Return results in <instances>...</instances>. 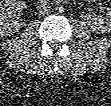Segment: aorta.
Masks as SVG:
<instances>
[{"label": "aorta", "mask_w": 111, "mask_h": 106, "mask_svg": "<svg viewBox=\"0 0 111 106\" xmlns=\"http://www.w3.org/2000/svg\"><path fill=\"white\" fill-rule=\"evenodd\" d=\"M56 11H57L58 13H62V12L64 11V8H63L62 6H58V7L56 8Z\"/></svg>", "instance_id": "762f6f07"}]
</instances>
